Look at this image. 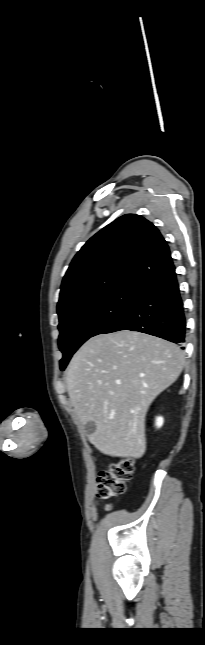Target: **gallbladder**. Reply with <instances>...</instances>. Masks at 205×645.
Segmentation results:
<instances>
[{"mask_svg": "<svg viewBox=\"0 0 205 645\" xmlns=\"http://www.w3.org/2000/svg\"><path fill=\"white\" fill-rule=\"evenodd\" d=\"M95 429H96V425H95V423H94V422H92V421L87 422V423L84 425V430H85L86 435H90V434H92V433L95 431Z\"/></svg>", "mask_w": 205, "mask_h": 645, "instance_id": "bac80fb5", "label": "gallbladder"}]
</instances>
